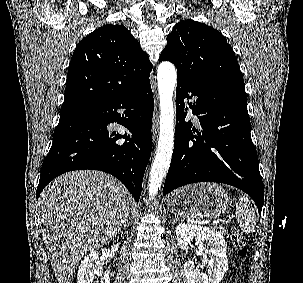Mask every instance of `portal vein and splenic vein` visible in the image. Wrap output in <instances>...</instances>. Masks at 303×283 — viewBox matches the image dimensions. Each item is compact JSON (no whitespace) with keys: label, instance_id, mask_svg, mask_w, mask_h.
<instances>
[{"label":"portal vein and splenic vein","instance_id":"1","mask_svg":"<svg viewBox=\"0 0 303 283\" xmlns=\"http://www.w3.org/2000/svg\"><path fill=\"white\" fill-rule=\"evenodd\" d=\"M216 223H218V221H215V220H214V221H213V224H216Z\"/></svg>","mask_w":303,"mask_h":283}]
</instances>
